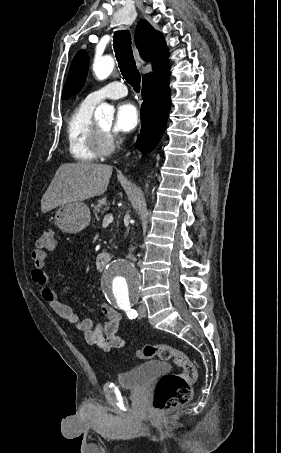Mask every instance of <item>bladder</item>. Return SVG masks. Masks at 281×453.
<instances>
[{"instance_id":"obj_1","label":"bladder","mask_w":281,"mask_h":453,"mask_svg":"<svg viewBox=\"0 0 281 453\" xmlns=\"http://www.w3.org/2000/svg\"><path fill=\"white\" fill-rule=\"evenodd\" d=\"M169 370L170 366L167 363L153 361L119 373L117 383L123 388L139 389L149 384L156 377L168 373Z\"/></svg>"}]
</instances>
